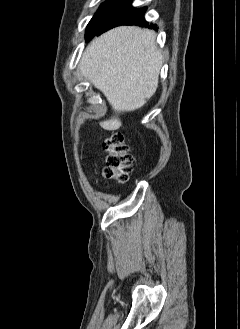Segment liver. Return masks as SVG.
Here are the masks:
<instances>
[{"instance_id": "6515ba94", "label": "liver", "mask_w": 240, "mask_h": 329, "mask_svg": "<svg viewBox=\"0 0 240 329\" xmlns=\"http://www.w3.org/2000/svg\"><path fill=\"white\" fill-rule=\"evenodd\" d=\"M155 33L139 27L121 26L93 39L84 52L79 70L107 98L116 114L135 111L152 97L158 87L162 53ZM116 130V116L100 122Z\"/></svg>"}]
</instances>
